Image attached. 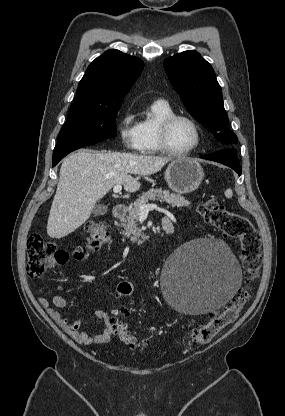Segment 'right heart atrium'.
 Here are the masks:
<instances>
[{
	"label": "right heart atrium",
	"mask_w": 285,
	"mask_h": 416,
	"mask_svg": "<svg viewBox=\"0 0 285 416\" xmlns=\"http://www.w3.org/2000/svg\"><path fill=\"white\" fill-rule=\"evenodd\" d=\"M119 136L125 149L129 151L141 150V135L138 128V119L134 111L126 109L121 113Z\"/></svg>",
	"instance_id": "d8ad5b80"
}]
</instances>
